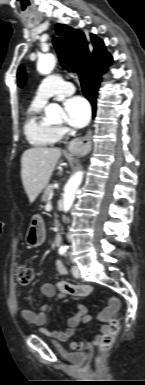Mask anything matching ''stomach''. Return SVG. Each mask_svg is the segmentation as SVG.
<instances>
[{"mask_svg":"<svg viewBox=\"0 0 145 385\" xmlns=\"http://www.w3.org/2000/svg\"><path fill=\"white\" fill-rule=\"evenodd\" d=\"M45 227L39 216H34L26 233V243L30 247H38L45 241Z\"/></svg>","mask_w":145,"mask_h":385,"instance_id":"obj_1","label":"stomach"}]
</instances>
